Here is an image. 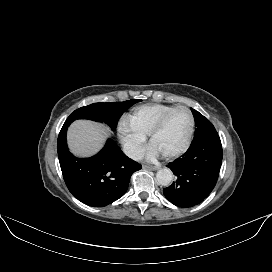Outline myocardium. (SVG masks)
<instances>
[{
	"instance_id": "obj_1",
	"label": "myocardium",
	"mask_w": 272,
	"mask_h": 272,
	"mask_svg": "<svg viewBox=\"0 0 272 272\" xmlns=\"http://www.w3.org/2000/svg\"><path fill=\"white\" fill-rule=\"evenodd\" d=\"M178 110H183L188 114L189 120H190L189 132H188L187 138H186L185 142L182 144V146H180L178 149H176L173 152H170V153H167V154H162V156L164 158H166V159H172V158L178 157L179 155L184 153L189 148V146H190V144L192 142L193 136H194V132H195V118H194L193 113L186 106L173 107L172 109H170L169 111L164 113L158 119V121L155 123V125L153 126V128L151 129V131L149 133V142L151 144L153 138L161 131V129L165 125V123H166L167 119L169 118V116L172 113H174L175 111H178Z\"/></svg>"
}]
</instances>
